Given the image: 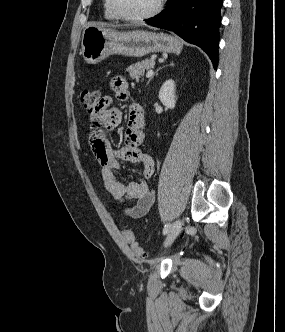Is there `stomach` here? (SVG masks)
Wrapping results in <instances>:
<instances>
[{
  "label": "stomach",
  "instance_id": "obj_1",
  "mask_svg": "<svg viewBox=\"0 0 285 332\" xmlns=\"http://www.w3.org/2000/svg\"><path fill=\"white\" fill-rule=\"evenodd\" d=\"M182 43L166 33L118 32L101 26L83 30L80 54L88 64H97L110 55L143 57L156 52H179Z\"/></svg>",
  "mask_w": 285,
  "mask_h": 332
}]
</instances>
